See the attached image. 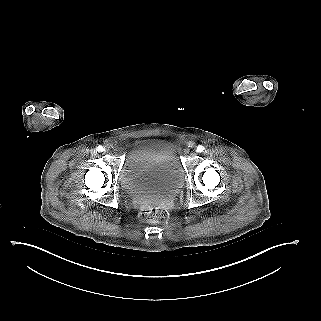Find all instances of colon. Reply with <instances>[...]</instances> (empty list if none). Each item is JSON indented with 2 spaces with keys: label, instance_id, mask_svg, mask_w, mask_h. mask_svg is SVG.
Here are the masks:
<instances>
[{
  "label": "colon",
  "instance_id": "5ec220e1",
  "mask_svg": "<svg viewBox=\"0 0 321 321\" xmlns=\"http://www.w3.org/2000/svg\"><path fill=\"white\" fill-rule=\"evenodd\" d=\"M168 210L163 206H150L144 208L140 213V218L148 223H161L168 219Z\"/></svg>",
  "mask_w": 321,
  "mask_h": 321
}]
</instances>
